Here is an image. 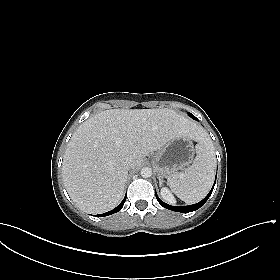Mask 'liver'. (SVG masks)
I'll list each match as a JSON object with an SVG mask.
<instances>
[{"label":"liver","mask_w":280,"mask_h":280,"mask_svg":"<svg viewBox=\"0 0 280 280\" xmlns=\"http://www.w3.org/2000/svg\"><path fill=\"white\" fill-rule=\"evenodd\" d=\"M205 134L189 118L171 109H110L83 122L74 132L63 158L64 185L81 210L99 214L116 207L124 194L128 171L125 157L137 168L150 153L170 140Z\"/></svg>","instance_id":"1"}]
</instances>
